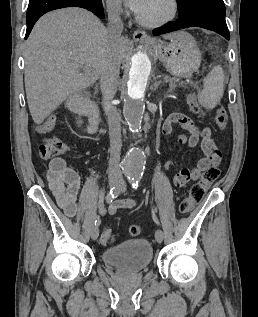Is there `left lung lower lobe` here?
Returning a JSON list of instances; mask_svg holds the SVG:
<instances>
[{"instance_id":"1","label":"left lung lower lobe","mask_w":258,"mask_h":317,"mask_svg":"<svg viewBox=\"0 0 258 317\" xmlns=\"http://www.w3.org/2000/svg\"><path fill=\"white\" fill-rule=\"evenodd\" d=\"M188 27H201L217 32L230 39L229 30L225 21V5L223 0H197L190 6L189 11L179 16L177 22H170L167 25L154 30V35L179 30Z\"/></svg>"}]
</instances>
